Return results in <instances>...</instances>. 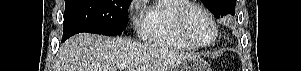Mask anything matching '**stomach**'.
Returning a JSON list of instances; mask_svg holds the SVG:
<instances>
[{
    "mask_svg": "<svg viewBox=\"0 0 301 71\" xmlns=\"http://www.w3.org/2000/svg\"><path fill=\"white\" fill-rule=\"evenodd\" d=\"M170 71H211L209 64L198 56H190Z\"/></svg>",
    "mask_w": 301,
    "mask_h": 71,
    "instance_id": "stomach-1",
    "label": "stomach"
}]
</instances>
